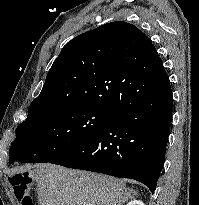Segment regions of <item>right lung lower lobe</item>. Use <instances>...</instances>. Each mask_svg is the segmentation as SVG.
<instances>
[{
    "label": "right lung lower lobe",
    "mask_w": 199,
    "mask_h": 205,
    "mask_svg": "<svg viewBox=\"0 0 199 205\" xmlns=\"http://www.w3.org/2000/svg\"><path fill=\"white\" fill-rule=\"evenodd\" d=\"M157 80L154 89L112 111L111 121L89 141L50 163L131 178L154 193L164 165L173 104L167 73Z\"/></svg>",
    "instance_id": "1"
}]
</instances>
